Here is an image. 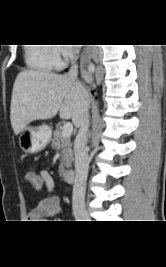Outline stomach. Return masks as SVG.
<instances>
[{"label": "stomach", "instance_id": "obj_1", "mask_svg": "<svg viewBox=\"0 0 166 267\" xmlns=\"http://www.w3.org/2000/svg\"><path fill=\"white\" fill-rule=\"evenodd\" d=\"M51 134V128L47 125L26 127L20 132L19 145L25 153H38L48 145Z\"/></svg>", "mask_w": 166, "mask_h": 267}]
</instances>
